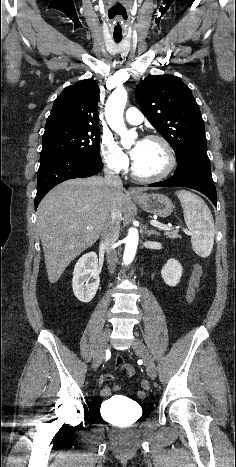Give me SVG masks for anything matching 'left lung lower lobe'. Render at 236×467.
Listing matches in <instances>:
<instances>
[{"instance_id": "0a47b994", "label": "left lung lower lobe", "mask_w": 236, "mask_h": 467, "mask_svg": "<svg viewBox=\"0 0 236 467\" xmlns=\"http://www.w3.org/2000/svg\"><path fill=\"white\" fill-rule=\"evenodd\" d=\"M174 175L165 181L150 184V187L182 186L195 189L206 195L216 206V187L212 179L210 160L206 148L190 151L185 158L177 162Z\"/></svg>"}]
</instances>
